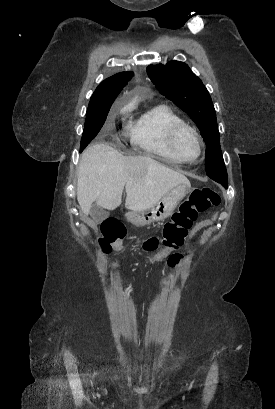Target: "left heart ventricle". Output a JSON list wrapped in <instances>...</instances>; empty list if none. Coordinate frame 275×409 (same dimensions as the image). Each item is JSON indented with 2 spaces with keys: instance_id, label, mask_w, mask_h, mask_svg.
<instances>
[{
  "instance_id": "left-heart-ventricle-1",
  "label": "left heart ventricle",
  "mask_w": 275,
  "mask_h": 409,
  "mask_svg": "<svg viewBox=\"0 0 275 409\" xmlns=\"http://www.w3.org/2000/svg\"><path fill=\"white\" fill-rule=\"evenodd\" d=\"M176 152L179 157H194L197 153V146L193 136L189 132H183L176 144Z\"/></svg>"
}]
</instances>
